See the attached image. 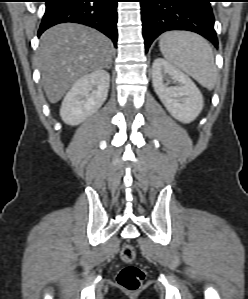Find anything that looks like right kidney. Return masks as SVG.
<instances>
[{"mask_svg":"<svg viewBox=\"0 0 248 299\" xmlns=\"http://www.w3.org/2000/svg\"><path fill=\"white\" fill-rule=\"evenodd\" d=\"M109 81V73L102 69L78 79L63 99L62 120L74 126L96 113L107 98Z\"/></svg>","mask_w":248,"mask_h":299,"instance_id":"ca27d5eb","label":"right kidney"}]
</instances>
